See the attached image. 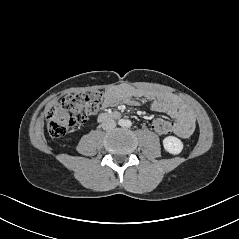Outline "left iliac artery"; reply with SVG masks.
<instances>
[{
	"instance_id": "left-iliac-artery-1",
	"label": "left iliac artery",
	"mask_w": 239,
	"mask_h": 239,
	"mask_svg": "<svg viewBox=\"0 0 239 239\" xmlns=\"http://www.w3.org/2000/svg\"><path fill=\"white\" fill-rule=\"evenodd\" d=\"M126 126H127V127H130V126H131V122H130V121H127V122H126Z\"/></svg>"
}]
</instances>
